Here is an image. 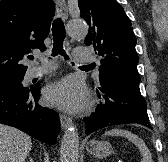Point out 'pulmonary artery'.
Here are the masks:
<instances>
[{
    "instance_id": "1",
    "label": "pulmonary artery",
    "mask_w": 168,
    "mask_h": 162,
    "mask_svg": "<svg viewBox=\"0 0 168 162\" xmlns=\"http://www.w3.org/2000/svg\"><path fill=\"white\" fill-rule=\"evenodd\" d=\"M74 57L79 62H90L92 61V56L86 51L85 48H75ZM53 68V65H46L43 67H31L27 71L28 78H34L43 74L48 73Z\"/></svg>"
}]
</instances>
